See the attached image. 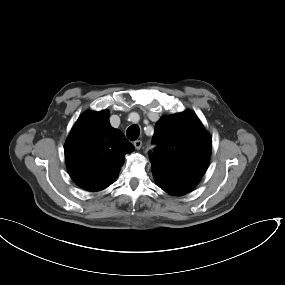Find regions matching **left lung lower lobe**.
Masks as SVG:
<instances>
[{"label": "left lung lower lobe", "mask_w": 285, "mask_h": 285, "mask_svg": "<svg viewBox=\"0 0 285 285\" xmlns=\"http://www.w3.org/2000/svg\"><path fill=\"white\" fill-rule=\"evenodd\" d=\"M152 173L156 180L157 185L161 187L165 192L171 195L175 196L185 195L189 193L196 186L192 183L171 179L156 171H152Z\"/></svg>", "instance_id": "1"}]
</instances>
